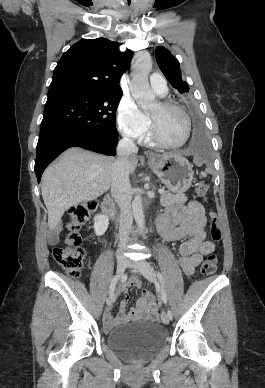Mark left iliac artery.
<instances>
[{
  "label": "left iliac artery",
  "mask_w": 265,
  "mask_h": 388,
  "mask_svg": "<svg viewBox=\"0 0 265 388\" xmlns=\"http://www.w3.org/2000/svg\"><path fill=\"white\" fill-rule=\"evenodd\" d=\"M157 276H158V279L160 280L161 286H162L161 298H162L163 302L165 304H167V295H166V292H165V289H164V279H163V276H162V274L160 272H157ZM167 315H168V317L170 319L173 318V314H172V312L169 309L167 311Z\"/></svg>",
  "instance_id": "44dca946"
}]
</instances>
